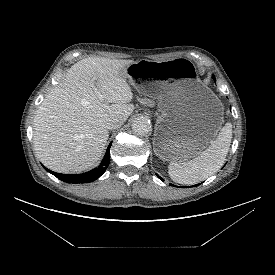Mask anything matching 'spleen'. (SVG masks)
Returning a JSON list of instances; mask_svg holds the SVG:
<instances>
[{
    "label": "spleen",
    "instance_id": "1",
    "mask_svg": "<svg viewBox=\"0 0 275 275\" xmlns=\"http://www.w3.org/2000/svg\"><path fill=\"white\" fill-rule=\"evenodd\" d=\"M232 139V125L226 123L217 138L188 162L171 161L168 166L170 178L177 183L192 185L207 179L223 165Z\"/></svg>",
    "mask_w": 275,
    "mask_h": 275
}]
</instances>
